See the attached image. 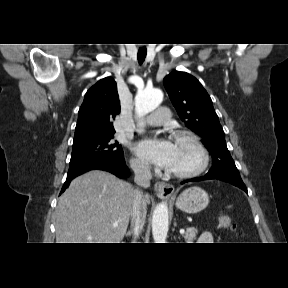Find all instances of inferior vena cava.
<instances>
[{"mask_svg":"<svg viewBox=\"0 0 288 288\" xmlns=\"http://www.w3.org/2000/svg\"><path fill=\"white\" fill-rule=\"evenodd\" d=\"M135 177L134 181L140 188H148L152 178L150 168L144 163H135L132 165ZM135 189L134 200L132 205V226L135 237L138 236L145 224L147 207L143 191Z\"/></svg>","mask_w":288,"mask_h":288,"instance_id":"obj_1","label":"inferior vena cava"}]
</instances>
